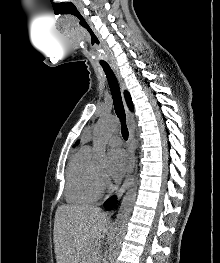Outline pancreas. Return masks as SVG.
<instances>
[{"mask_svg": "<svg viewBox=\"0 0 220 263\" xmlns=\"http://www.w3.org/2000/svg\"><path fill=\"white\" fill-rule=\"evenodd\" d=\"M98 253H99L98 248H94V249H92V251H91V256L94 258V257L97 256Z\"/></svg>", "mask_w": 220, "mask_h": 263, "instance_id": "pancreas-1", "label": "pancreas"}]
</instances>
